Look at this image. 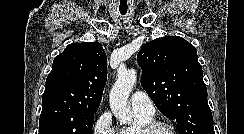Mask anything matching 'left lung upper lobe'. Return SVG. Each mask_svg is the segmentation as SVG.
<instances>
[{"mask_svg": "<svg viewBox=\"0 0 244 134\" xmlns=\"http://www.w3.org/2000/svg\"><path fill=\"white\" fill-rule=\"evenodd\" d=\"M141 85L180 134H215L197 50L179 36L157 38L137 55Z\"/></svg>", "mask_w": 244, "mask_h": 134, "instance_id": "5c2ea615", "label": "left lung upper lobe"}]
</instances>
